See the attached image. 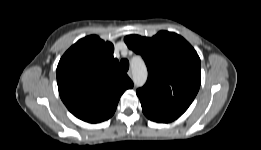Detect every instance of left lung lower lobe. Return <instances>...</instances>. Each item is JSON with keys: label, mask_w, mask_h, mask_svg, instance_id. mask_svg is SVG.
<instances>
[{"label": "left lung lower lobe", "mask_w": 261, "mask_h": 150, "mask_svg": "<svg viewBox=\"0 0 261 150\" xmlns=\"http://www.w3.org/2000/svg\"><path fill=\"white\" fill-rule=\"evenodd\" d=\"M142 110L143 113L145 114V116L152 120V121H156V122H160V123H168L171 122L175 119H177L180 115L171 113L169 111L160 109V108H156L153 107L151 105L142 103Z\"/></svg>", "instance_id": "left-lung-lower-lobe-1"}]
</instances>
